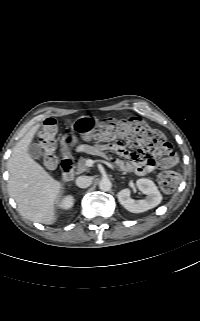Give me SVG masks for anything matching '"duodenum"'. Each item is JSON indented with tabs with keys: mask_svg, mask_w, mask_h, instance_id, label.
I'll return each mask as SVG.
<instances>
[{
	"mask_svg": "<svg viewBox=\"0 0 200 321\" xmlns=\"http://www.w3.org/2000/svg\"><path fill=\"white\" fill-rule=\"evenodd\" d=\"M62 177L65 181H69L74 176L73 159L65 156L61 161Z\"/></svg>",
	"mask_w": 200,
	"mask_h": 321,
	"instance_id": "1",
	"label": "duodenum"
}]
</instances>
